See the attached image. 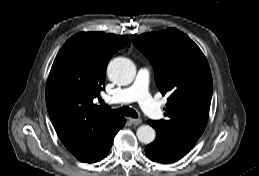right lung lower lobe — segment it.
<instances>
[{
  "instance_id": "right-lung-lower-lobe-1",
  "label": "right lung lower lobe",
  "mask_w": 259,
  "mask_h": 176,
  "mask_svg": "<svg viewBox=\"0 0 259 176\" xmlns=\"http://www.w3.org/2000/svg\"><path fill=\"white\" fill-rule=\"evenodd\" d=\"M124 124H125V119L121 117L118 127L91 152H89L84 156L78 157V160L82 162L93 163L103 159L108 154L112 146L115 135L124 126Z\"/></svg>"
}]
</instances>
